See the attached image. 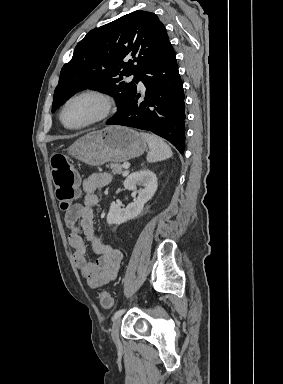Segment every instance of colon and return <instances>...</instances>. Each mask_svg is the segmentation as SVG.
Segmentation results:
<instances>
[{"mask_svg": "<svg viewBox=\"0 0 283 384\" xmlns=\"http://www.w3.org/2000/svg\"><path fill=\"white\" fill-rule=\"evenodd\" d=\"M51 169L56 188V196L61 206L67 209L77 194V177L73 167L62 154H55L51 158ZM99 301L103 308L113 306V298L108 292H101Z\"/></svg>", "mask_w": 283, "mask_h": 384, "instance_id": "obj_1", "label": "colon"}]
</instances>
